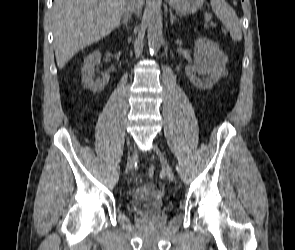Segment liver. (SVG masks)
Returning <instances> with one entry per match:
<instances>
[{
  "instance_id": "obj_1",
  "label": "liver",
  "mask_w": 295,
  "mask_h": 250,
  "mask_svg": "<svg viewBox=\"0 0 295 250\" xmlns=\"http://www.w3.org/2000/svg\"><path fill=\"white\" fill-rule=\"evenodd\" d=\"M129 0H54L52 27L57 66L62 69L81 49L109 35ZM144 0H141V7Z\"/></svg>"
}]
</instances>
